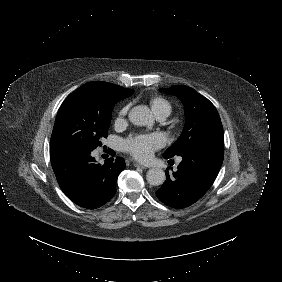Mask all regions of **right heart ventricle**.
Segmentation results:
<instances>
[{"mask_svg": "<svg viewBox=\"0 0 282 282\" xmlns=\"http://www.w3.org/2000/svg\"><path fill=\"white\" fill-rule=\"evenodd\" d=\"M151 107L156 116H160L163 114H169L171 111L170 103L167 100L160 98V97L154 98L151 101Z\"/></svg>", "mask_w": 282, "mask_h": 282, "instance_id": "1", "label": "right heart ventricle"}]
</instances>
